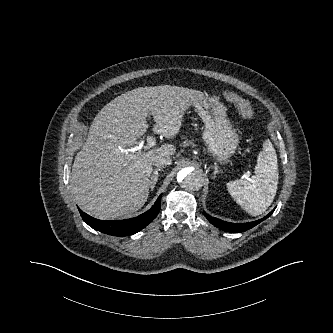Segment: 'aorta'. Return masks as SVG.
Instances as JSON below:
<instances>
[{"label": "aorta", "instance_id": "762f6f07", "mask_svg": "<svg viewBox=\"0 0 333 333\" xmlns=\"http://www.w3.org/2000/svg\"><path fill=\"white\" fill-rule=\"evenodd\" d=\"M177 181L185 190L196 191L201 188L203 177L199 171L188 167L178 172Z\"/></svg>", "mask_w": 333, "mask_h": 333}]
</instances>
